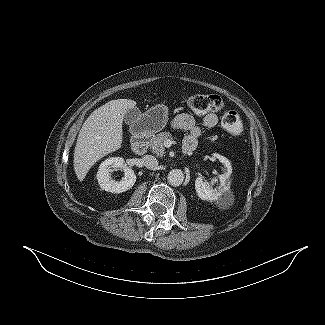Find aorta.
<instances>
[{"label": "aorta", "instance_id": "aorta-1", "mask_svg": "<svg viewBox=\"0 0 325 325\" xmlns=\"http://www.w3.org/2000/svg\"><path fill=\"white\" fill-rule=\"evenodd\" d=\"M167 179L169 184H171L172 186H179L184 180V173L180 169H172L168 173Z\"/></svg>", "mask_w": 325, "mask_h": 325}]
</instances>
